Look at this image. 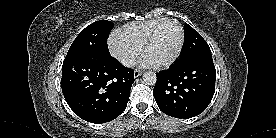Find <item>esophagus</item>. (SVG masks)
Returning a JSON list of instances; mask_svg holds the SVG:
<instances>
[{
	"label": "esophagus",
	"instance_id": "esophagus-1",
	"mask_svg": "<svg viewBox=\"0 0 276 138\" xmlns=\"http://www.w3.org/2000/svg\"><path fill=\"white\" fill-rule=\"evenodd\" d=\"M142 75V71H140V70H134V77L135 78H137V77H139V76H141Z\"/></svg>",
	"mask_w": 276,
	"mask_h": 138
}]
</instances>
